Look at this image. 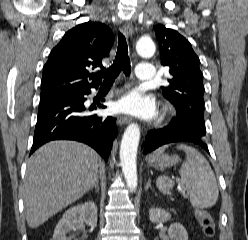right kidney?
Returning <instances> with one entry per match:
<instances>
[{
  "mask_svg": "<svg viewBox=\"0 0 248 240\" xmlns=\"http://www.w3.org/2000/svg\"><path fill=\"white\" fill-rule=\"evenodd\" d=\"M84 223L91 227L97 225V206L92 201L67 210L56 225L53 240H68L67 233L70 230L82 229Z\"/></svg>",
  "mask_w": 248,
  "mask_h": 240,
  "instance_id": "1",
  "label": "right kidney"
}]
</instances>
